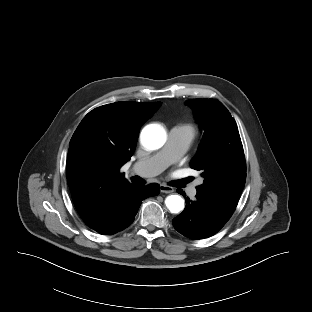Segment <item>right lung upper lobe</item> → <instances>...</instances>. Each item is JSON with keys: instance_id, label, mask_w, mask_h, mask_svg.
Returning <instances> with one entry per match:
<instances>
[{"instance_id": "cb5924a9", "label": "right lung upper lobe", "mask_w": 312, "mask_h": 312, "mask_svg": "<svg viewBox=\"0 0 312 312\" xmlns=\"http://www.w3.org/2000/svg\"><path fill=\"white\" fill-rule=\"evenodd\" d=\"M161 102H116L95 108L74 132L66 177L74 205L89 225L99 220L131 185L120 173L130 159L141 126Z\"/></svg>"}]
</instances>
